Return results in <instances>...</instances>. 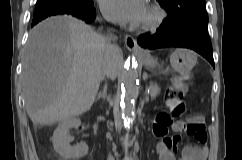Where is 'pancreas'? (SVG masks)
<instances>
[{
	"label": "pancreas",
	"instance_id": "obj_1",
	"mask_svg": "<svg viewBox=\"0 0 242 160\" xmlns=\"http://www.w3.org/2000/svg\"><path fill=\"white\" fill-rule=\"evenodd\" d=\"M151 98H155L160 92V88L157 84L151 83L149 86Z\"/></svg>",
	"mask_w": 242,
	"mask_h": 160
}]
</instances>
